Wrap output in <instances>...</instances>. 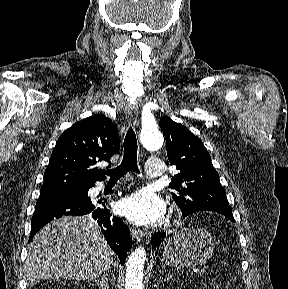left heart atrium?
I'll use <instances>...</instances> for the list:
<instances>
[{"mask_svg":"<svg viewBox=\"0 0 288 289\" xmlns=\"http://www.w3.org/2000/svg\"><path fill=\"white\" fill-rule=\"evenodd\" d=\"M119 212L137 224H154L166 212L164 201L148 189H142L118 203Z\"/></svg>","mask_w":288,"mask_h":289,"instance_id":"1","label":"left heart atrium"}]
</instances>
